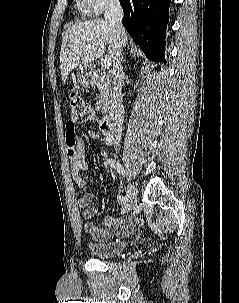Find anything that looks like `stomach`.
<instances>
[{
  "label": "stomach",
  "mask_w": 239,
  "mask_h": 303,
  "mask_svg": "<svg viewBox=\"0 0 239 303\" xmlns=\"http://www.w3.org/2000/svg\"><path fill=\"white\" fill-rule=\"evenodd\" d=\"M77 78L80 85L84 87L91 86L93 84L92 69L88 65H82L78 68Z\"/></svg>",
  "instance_id": "0dacf381"
}]
</instances>
